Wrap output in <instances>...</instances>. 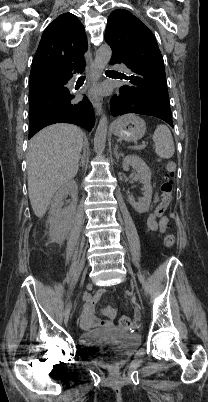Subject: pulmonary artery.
Here are the masks:
<instances>
[{"mask_svg":"<svg viewBox=\"0 0 208 402\" xmlns=\"http://www.w3.org/2000/svg\"><path fill=\"white\" fill-rule=\"evenodd\" d=\"M114 69H115V71H116V73L117 74H122L123 73V71H128V69L126 68V66L125 65H123V64H116L115 66H114Z\"/></svg>","mask_w":208,"mask_h":402,"instance_id":"pulmonary-artery-1","label":"pulmonary artery"}]
</instances>
